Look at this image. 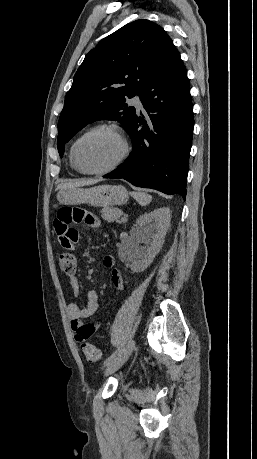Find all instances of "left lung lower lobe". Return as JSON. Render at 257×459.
Here are the masks:
<instances>
[{"mask_svg": "<svg viewBox=\"0 0 257 459\" xmlns=\"http://www.w3.org/2000/svg\"><path fill=\"white\" fill-rule=\"evenodd\" d=\"M139 96L148 116L135 115L126 130L132 153L104 178L185 198L194 119L187 72L175 47Z\"/></svg>", "mask_w": 257, "mask_h": 459, "instance_id": "1", "label": "left lung lower lobe"}]
</instances>
